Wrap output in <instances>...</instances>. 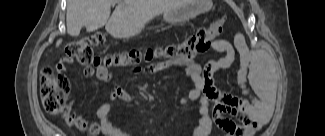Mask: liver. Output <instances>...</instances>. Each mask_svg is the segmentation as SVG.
Masks as SVG:
<instances>
[{"label":"liver","instance_id":"liver-1","mask_svg":"<svg viewBox=\"0 0 325 136\" xmlns=\"http://www.w3.org/2000/svg\"><path fill=\"white\" fill-rule=\"evenodd\" d=\"M186 0H68L66 11L67 33L76 37L82 27L87 32L105 26L117 39L130 38L141 33L154 17L178 9ZM117 6L110 16L111 5ZM62 40H58V47Z\"/></svg>","mask_w":325,"mask_h":136}]
</instances>
